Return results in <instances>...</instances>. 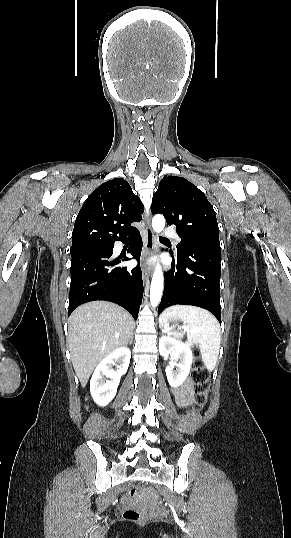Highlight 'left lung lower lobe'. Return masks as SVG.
<instances>
[{
  "label": "left lung lower lobe",
  "mask_w": 291,
  "mask_h": 538,
  "mask_svg": "<svg viewBox=\"0 0 291 538\" xmlns=\"http://www.w3.org/2000/svg\"><path fill=\"white\" fill-rule=\"evenodd\" d=\"M171 269L165 273L163 297L158 315L172 305H193L212 312L221 323L220 249L190 247L174 255ZM177 258V263L174 261Z\"/></svg>",
  "instance_id": "0a47b994"
}]
</instances>
